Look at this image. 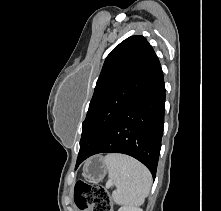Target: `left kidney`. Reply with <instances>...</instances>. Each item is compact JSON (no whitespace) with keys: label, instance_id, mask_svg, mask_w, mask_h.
Wrapping results in <instances>:
<instances>
[{"label":"left kidney","instance_id":"5707ae66","mask_svg":"<svg viewBox=\"0 0 221 211\" xmlns=\"http://www.w3.org/2000/svg\"><path fill=\"white\" fill-rule=\"evenodd\" d=\"M118 211H143L141 208L132 207V206H124L119 208Z\"/></svg>","mask_w":221,"mask_h":211}]
</instances>
